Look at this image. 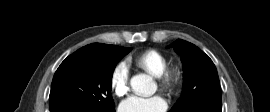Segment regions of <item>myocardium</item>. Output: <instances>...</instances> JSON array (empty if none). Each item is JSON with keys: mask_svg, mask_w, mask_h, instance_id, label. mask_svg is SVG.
Wrapping results in <instances>:
<instances>
[{"mask_svg": "<svg viewBox=\"0 0 270 112\" xmlns=\"http://www.w3.org/2000/svg\"><path fill=\"white\" fill-rule=\"evenodd\" d=\"M159 90L172 97L177 95L184 83V70L181 65H167L164 71L155 77Z\"/></svg>", "mask_w": 270, "mask_h": 112, "instance_id": "f54148a6", "label": "myocardium"}]
</instances>
